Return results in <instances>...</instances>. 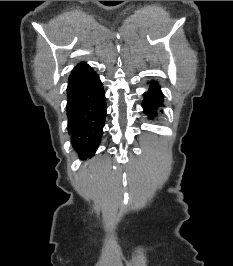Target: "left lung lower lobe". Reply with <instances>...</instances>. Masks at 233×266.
Returning <instances> with one entry per match:
<instances>
[{
	"instance_id": "obj_1",
	"label": "left lung lower lobe",
	"mask_w": 233,
	"mask_h": 266,
	"mask_svg": "<svg viewBox=\"0 0 233 266\" xmlns=\"http://www.w3.org/2000/svg\"><path fill=\"white\" fill-rule=\"evenodd\" d=\"M145 99L142 103L144 113L151 119L157 116V110L163 106V94L159 85L153 83L150 84L149 91L144 93Z\"/></svg>"
}]
</instances>
